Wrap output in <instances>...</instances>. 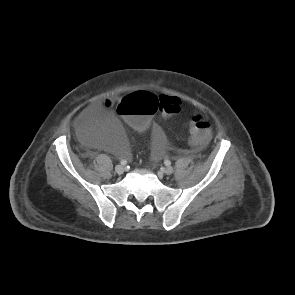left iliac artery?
<instances>
[{"instance_id":"left-iliac-artery-1","label":"left iliac artery","mask_w":295,"mask_h":295,"mask_svg":"<svg viewBox=\"0 0 295 295\" xmlns=\"http://www.w3.org/2000/svg\"><path fill=\"white\" fill-rule=\"evenodd\" d=\"M171 162L169 160L165 161V165L170 166Z\"/></svg>"}]
</instances>
